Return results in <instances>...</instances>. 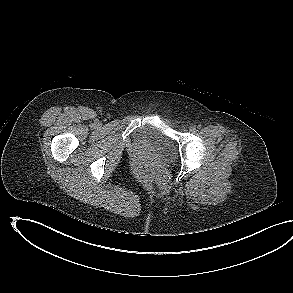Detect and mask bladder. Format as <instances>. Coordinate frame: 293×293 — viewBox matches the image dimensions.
<instances>
[{"label":"bladder","mask_w":293,"mask_h":293,"mask_svg":"<svg viewBox=\"0 0 293 293\" xmlns=\"http://www.w3.org/2000/svg\"><path fill=\"white\" fill-rule=\"evenodd\" d=\"M139 144L153 151L160 159L170 160L176 155V145L162 126L145 125L136 134Z\"/></svg>","instance_id":"bladder-1"}]
</instances>
